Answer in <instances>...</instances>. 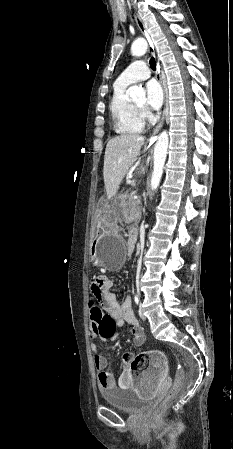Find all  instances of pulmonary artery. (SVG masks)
I'll list each match as a JSON object with an SVG mask.
<instances>
[{"label": "pulmonary artery", "mask_w": 233, "mask_h": 449, "mask_svg": "<svg viewBox=\"0 0 233 449\" xmlns=\"http://www.w3.org/2000/svg\"><path fill=\"white\" fill-rule=\"evenodd\" d=\"M150 77V69L142 60L132 62L117 78L116 82L121 85H130L135 82L146 80Z\"/></svg>", "instance_id": "pulmonary-artery-1"}]
</instances>
